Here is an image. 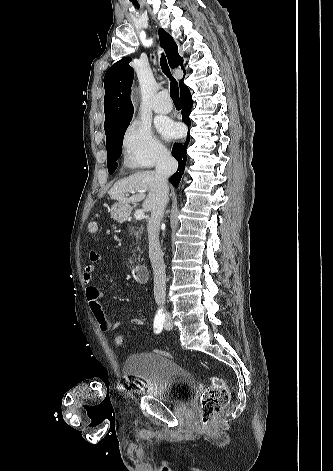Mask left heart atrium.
I'll list each match as a JSON object with an SVG mask.
<instances>
[{"label":"left heart atrium","mask_w":333,"mask_h":471,"mask_svg":"<svg viewBox=\"0 0 333 471\" xmlns=\"http://www.w3.org/2000/svg\"><path fill=\"white\" fill-rule=\"evenodd\" d=\"M159 130L166 138H172L178 134L177 125L171 121H163L159 126Z\"/></svg>","instance_id":"obj_1"}]
</instances>
